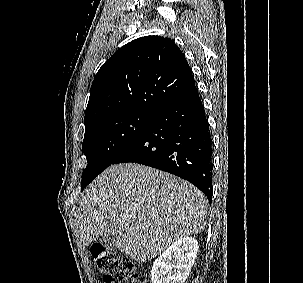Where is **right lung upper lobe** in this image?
I'll return each mask as SVG.
<instances>
[{"instance_id":"1","label":"right lung upper lobe","mask_w":303,"mask_h":283,"mask_svg":"<svg viewBox=\"0 0 303 283\" xmlns=\"http://www.w3.org/2000/svg\"><path fill=\"white\" fill-rule=\"evenodd\" d=\"M185 55L175 42L145 36L117 50L99 69L85 111V129L108 116L157 113L195 89Z\"/></svg>"}]
</instances>
